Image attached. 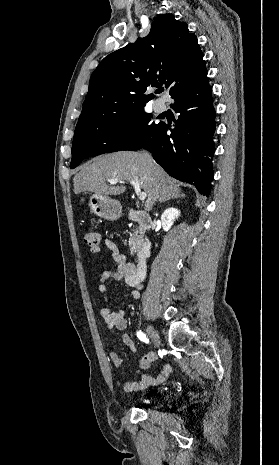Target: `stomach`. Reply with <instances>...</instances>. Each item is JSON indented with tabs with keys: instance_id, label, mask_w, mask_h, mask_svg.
Segmentation results:
<instances>
[{
	"instance_id": "0dacf381",
	"label": "stomach",
	"mask_w": 279,
	"mask_h": 465,
	"mask_svg": "<svg viewBox=\"0 0 279 465\" xmlns=\"http://www.w3.org/2000/svg\"><path fill=\"white\" fill-rule=\"evenodd\" d=\"M89 206L95 215L107 220H117L122 213L121 204L104 195L93 194Z\"/></svg>"
}]
</instances>
